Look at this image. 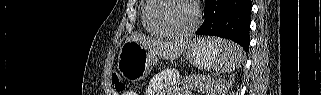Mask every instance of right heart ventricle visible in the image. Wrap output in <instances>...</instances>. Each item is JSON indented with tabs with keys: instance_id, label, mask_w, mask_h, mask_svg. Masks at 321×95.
<instances>
[{
	"instance_id": "right-heart-ventricle-1",
	"label": "right heart ventricle",
	"mask_w": 321,
	"mask_h": 95,
	"mask_svg": "<svg viewBox=\"0 0 321 95\" xmlns=\"http://www.w3.org/2000/svg\"><path fill=\"white\" fill-rule=\"evenodd\" d=\"M149 5H150V0L146 1L144 4L143 10H142V24L148 33L155 36H163L161 33H159L154 28H152V26L149 24L147 20V10L149 8Z\"/></svg>"
}]
</instances>
